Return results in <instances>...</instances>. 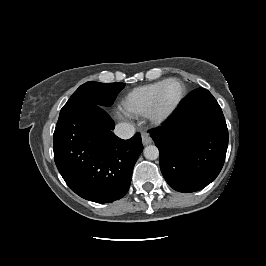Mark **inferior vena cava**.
<instances>
[{
	"label": "inferior vena cava",
	"mask_w": 266,
	"mask_h": 266,
	"mask_svg": "<svg viewBox=\"0 0 266 266\" xmlns=\"http://www.w3.org/2000/svg\"><path fill=\"white\" fill-rule=\"evenodd\" d=\"M115 135L121 139H129L135 134V128L130 123H119L114 129Z\"/></svg>",
	"instance_id": "602c4592"
}]
</instances>
